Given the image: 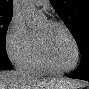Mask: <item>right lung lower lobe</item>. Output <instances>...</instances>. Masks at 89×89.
Returning <instances> with one entry per match:
<instances>
[{
  "label": "right lung lower lobe",
  "mask_w": 89,
  "mask_h": 89,
  "mask_svg": "<svg viewBox=\"0 0 89 89\" xmlns=\"http://www.w3.org/2000/svg\"><path fill=\"white\" fill-rule=\"evenodd\" d=\"M12 65L7 57L6 51L0 53V69H11Z\"/></svg>",
  "instance_id": "obj_1"
}]
</instances>
